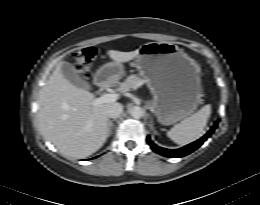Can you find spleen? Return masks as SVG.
I'll list each match as a JSON object with an SVG mask.
<instances>
[{
    "label": "spleen",
    "instance_id": "3e777b00",
    "mask_svg": "<svg viewBox=\"0 0 260 205\" xmlns=\"http://www.w3.org/2000/svg\"><path fill=\"white\" fill-rule=\"evenodd\" d=\"M210 114L211 105L207 104L198 112L176 124L168 131V137L179 145H186L199 139L204 133Z\"/></svg>",
    "mask_w": 260,
    "mask_h": 205
}]
</instances>
